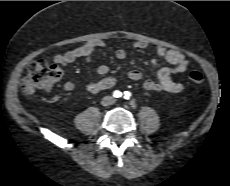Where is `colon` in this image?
<instances>
[{
    "instance_id": "5ec220e1",
    "label": "colon",
    "mask_w": 230,
    "mask_h": 186,
    "mask_svg": "<svg viewBox=\"0 0 230 186\" xmlns=\"http://www.w3.org/2000/svg\"><path fill=\"white\" fill-rule=\"evenodd\" d=\"M62 71L56 64L45 60L32 61L21 82V88L26 94H33L42 89H50L61 77ZM188 79L193 83L206 81L203 73L193 70L188 73Z\"/></svg>"
}]
</instances>
